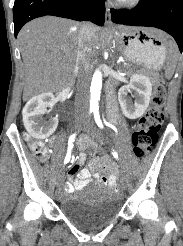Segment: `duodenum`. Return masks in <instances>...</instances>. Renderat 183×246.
<instances>
[{
	"instance_id": "410a0bca",
	"label": "duodenum",
	"mask_w": 183,
	"mask_h": 246,
	"mask_svg": "<svg viewBox=\"0 0 183 246\" xmlns=\"http://www.w3.org/2000/svg\"><path fill=\"white\" fill-rule=\"evenodd\" d=\"M80 148H98V143H94L92 136H84V139L79 140Z\"/></svg>"
}]
</instances>
